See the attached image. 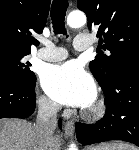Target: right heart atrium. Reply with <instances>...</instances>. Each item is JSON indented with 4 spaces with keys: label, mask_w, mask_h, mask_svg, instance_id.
<instances>
[{
    "label": "right heart atrium",
    "mask_w": 139,
    "mask_h": 150,
    "mask_svg": "<svg viewBox=\"0 0 139 150\" xmlns=\"http://www.w3.org/2000/svg\"><path fill=\"white\" fill-rule=\"evenodd\" d=\"M38 106L45 114H54L58 110V106L44 95L38 98Z\"/></svg>",
    "instance_id": "obj_1"
}]
</instances>
